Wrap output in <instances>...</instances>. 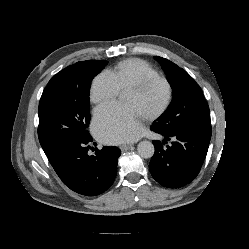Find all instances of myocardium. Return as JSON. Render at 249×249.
<instances>
[{
  "label": "myocardium",
  "instance_id": "1",
  "mask_svg": "<svg viewBox=\"0 0 249 249\" xmlns=\"http://www.w3.org/2000/svg\"><path fill=\"white\" fill-rule=\"evenodd\" d=\"M157 82H161L165 85L167 91L166 99L163 105L156 112L145 118L146 121L158 119L169 109L173 100V87L171 82L164 76H152L137 82L126 90L127 92L141 93L149 86Z\"/></svg>",
  "mask_w": 249,
  "mask_h": 249
}]
</instances>
